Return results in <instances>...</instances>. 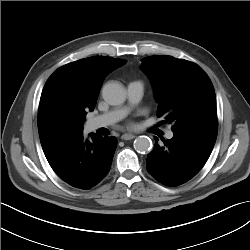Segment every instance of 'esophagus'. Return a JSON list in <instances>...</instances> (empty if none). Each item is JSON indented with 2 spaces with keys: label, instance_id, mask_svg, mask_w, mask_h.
<instances>
[{
  "label": "esophagus",
  "instance_id": "1",
  "mask_svg": "<svg viewBox=\"0 0 250 250\" xmlns=\"http://www.w3.org/2000/svg\"><path fill=\"white\" fill-rule=\"evenodd\" d=\"M135 138V135L133 134H129V133H125L121 136L122 140H132Z\"/></svg>",
  "mask_w": 250,
  "mask_h": 250
}]
</instances>
